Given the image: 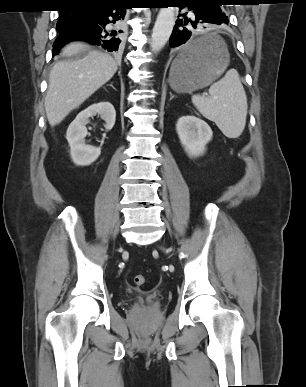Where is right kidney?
Wrapping results in <instances>:
<instances>
[{
	"instance_id": "ca27d5eb",
	"label": "right kidney",
	"mask_w": 306,
	"mask_h": 387,
	"mask_svg": "<svg viewBox=\"0 0 306 387\" xmlns=\"http://www.w3.org/2000/svg\"><path fill=\"white\" fill-rule=\"evenodd\" d=\"M97 114L105 121V129L111 130L115 124L116 111L114 106L106 101L92 104L81 111L67 129L66 139L70 146V155L78 166L90 165L101 153L100 147L88 145L85 141L89 118Z\"/></svg>"
}]
</instances>
